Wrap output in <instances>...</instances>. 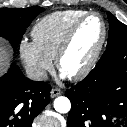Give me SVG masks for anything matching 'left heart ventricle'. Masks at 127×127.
<instances>
[{
    "label": "left heart ventricle",
    "mask_w": 127,
    "mask_h": 127,
    "mask_svg": "<svg viewBox=\"0 0 127 127\" xmlns=\"http://www.w3.org/2000/svg\"><path fill=\"white\" fill-rule=\"evenodd\" d=\"M102 29L101 21L96 16L88 18L79 27L62 62L65 75L77 72L87 63L100 42Z\"/></svg>",
    "instance_id": "left-heart-ventricle-1"
}]
</instances>
